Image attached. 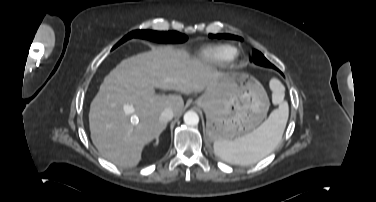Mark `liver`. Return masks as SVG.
<instances>
[{
    "label": "liver",
    "instance_id": "obj_1",
    "mask_svg": "<svg viewBox=\"0 0 376 202\" xmlns=\"http://www.w3.org/2000/svg\"><path fill=\"white\" fill-rule=\"evenodd\" d=\"M221 76L204 60L172 46L122 60L104 78L91 102L93 144L108 161L120 167L136 166L143 147L166 129L160 114L170 108L178 116L184 107L180 95H157L155 89L199 93Z\"/></svg>",
    "mask_w": 376,
    "mask_h": 202
}]
</instances>
